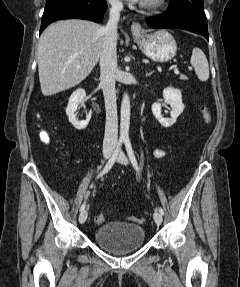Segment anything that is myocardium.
Returning a JSON list of instances; mask_svg holds the SVG:
<instances>
[{"mask_svg":"<svg viewBox=\"0 0 240 287\" xmlns=\"http://www.w3.org/2000/svg\"><path fill=\"white\" fill-rule=\"evenodd\" d=\"M163 2L164 0H144L141 6L146 10H156L163 4Z\"/></svg>","mask_w":240,"mask_h":287,"instance_id":"1","label":"myocardium"}]
</instances>
